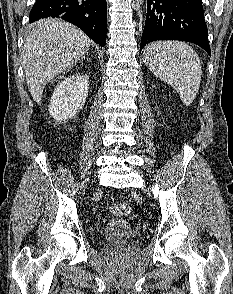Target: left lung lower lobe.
Returning <instances> with one entry per match:
<instances>
[{
    "mask_svg": "<svg viewBox=\"0 0 233 294\" xmlns=\"http://www.w3.org/2000/svg\"><path fill=\"white\" fill-rule=\"evenodd\" d=\"M156 40L192 42L211 56L201 0H147L140 50Z\"/></svg>",
    "mask_w": 233,
    "mask_h": 294,
    "instance_id": "obj_1",
    "label": "left lung lower lobe"
}]
</instances>
